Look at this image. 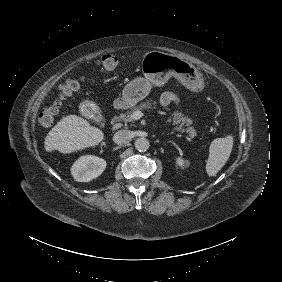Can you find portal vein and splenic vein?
<instances>
[{"instance_id":"18ae733b","label":"portal vein and splenic vein","mask_w":282,"mask_h":282,"mask_svg":"<svg viewBox=\"0 0 282 282\" xmlns=\"http://www.w3.org/2000/svg\"><path fill=\"white\" fill-rule=\"evenodd\" d=\"M131 117H132L133 119H135V120H138V119H140V118H143V113L138 110V111H135V112L131 115Z\"/></svg>"}]
</instances>
